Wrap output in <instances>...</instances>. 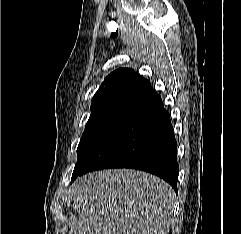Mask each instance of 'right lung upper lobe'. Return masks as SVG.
<instances>
[{
    "mask_svg": "<svg viewBox=\"0 0 241 234\" xmlns=\"http://www.w3.org/2000/svg\"><path fill=\"white\" fill-rule=\"evenodd\" d=\"M154 93L150 81L133 69L120 68L105 78L92 99L91 107L117 103L139 105Z\"/></svg>",
    "mask_w": 241,
    "mask_h": 234,
    "instance_id": "right-lung-upper-lobe-1",
    "label": "right lung upper lobe"
}]
</instances>
